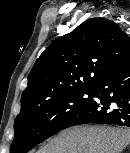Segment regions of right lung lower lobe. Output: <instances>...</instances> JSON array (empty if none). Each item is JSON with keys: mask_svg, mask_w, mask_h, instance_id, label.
I'll return each mask as SVG.
<instances>
[{"mask_svg": "<svg viewBox=\"0 0 130 153\" xmlns=\"http://www.w3.org/2000/svg\"><path fill=\"white\" fill-rule=\"evenodd\" d=\"M91 92V100L63 129L88 123L130 127V62L104 76Z\"/></svg>", "mask_w": 130, "mask_h": 153, "instance_id": "right-lung-lower-lobe-1", "label": "right lung lower lobe"}]
</instances>
